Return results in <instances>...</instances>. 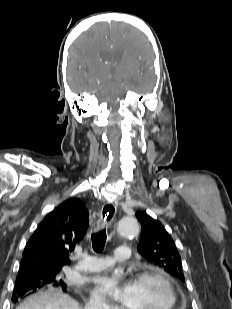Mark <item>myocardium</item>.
Masks as SVG:
<instances>
[{
    "instance_id": "f54148a6",
    "label": "myocardium",
    "mask_w": 232,
    "mask_h": 309,
    "mask_svg": "<svg viewBox=\"0 0 232 309\" xmlns=\"http://www.w3.org/2000/svg\"><path fill=\"white\" fill-rule=\"evenodd\" d=\"M148 278L157 279L165 285L170 298L169 304L165 307V309H176L178 305V295L170 279L157 269H146L138 272L134 276L133 282L136 283Z\"/></svg>"
}]
</instances>
